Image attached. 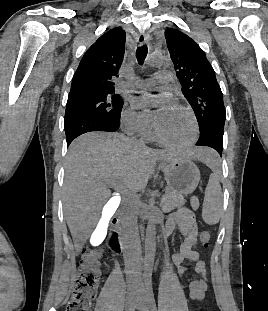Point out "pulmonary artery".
Masks as SVG:
<instances>
[{
	"instance_id": "pulmonary-artery-1",
	"label": "pulmonary artery",
	"mask_w": 268,
	"mask_h": 311,
	"mask_svg": "<svg viewBox=\"0 0 268 311\" xmlns=\"http://www.w3.org/2000/svg\"><path fill=\"white\" fill-rule=\"evenodd\" d=\"M173 80V73L169 70H161L154 77L147 79H137L135 86L140 89H147L154 86L156 83H167Z\"/></svg>"
}]
</instances>
